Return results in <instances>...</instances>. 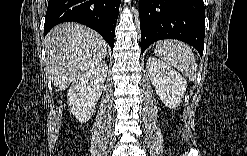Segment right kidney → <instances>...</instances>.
Masks as SVG:
<instances>
[{
	"mask_svg": "<svg viewBox=\"0 0 247 156\" xmlns=\"http://www.w3.org/2000/svg\"><path fill=\"white\" fill-rule=\"evenodd\" d=\"M107 72V64L98 63L81 73L72 82L67 95L68 103L70 112L79 122H87L94 113L96 103L104 88Z\"/></svg>",
	"mask_w": 247,
	"mask_h": 156,
	"instance_id": "1",
	"label": "right kidney"
}]
</instances>
